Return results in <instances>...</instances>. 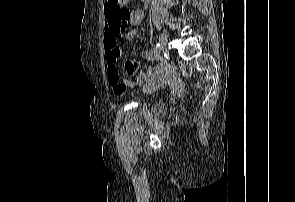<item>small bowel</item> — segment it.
<instances>
[{"label": "small bowel", "mask_w": 295, "mask_h": 202, "mask_svg": "<svg viewBox=\"0 0 295 202\" xmlns=\"http://www.w3.org/2000/svg\"><path fill=\"white\" fill-rule=\"evenodd\" d=\"M143 16L144 14L141 9L135 8L129 10L127 24L131 29L125 34V39L127 41H130L137 33L142 23ZM124 29L121 20L106 15L104 26V50L107 74L113 92L116 95H122L126 88H134L138 85L144 93L149 94L167 85L172 86V90H174L173 98H182L183 89H181V86H183V81H174L175 75L173 68L161 59L157 51H144V58L147 61H156V63L139 74L135 81L130 79L122 80V77H119L117 60L122 55V49L117 45L116 38ZM122 62L125 64L126 75H131V72H135V63H128V59H123Z\"/></svg>", "instance_id": "obj_1"}]
</instances>
